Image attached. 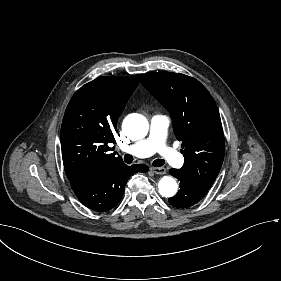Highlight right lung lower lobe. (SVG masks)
Instances as JSON below:
<instances>
[{
	"instance_id": "98d812e1",
	"label": "right lung lower lobe",
	"mask_w": 281,
	"mask_h": 281,
	"mask_svg": "<svg viewBox=\"0 0 281 281\" xmlns=\"http://www.w3.org/2000/svg\"><path fill=\"white\" fill-rule=\"evenodd\" d=\"M143 164L118 166L83 184L72 186L78 199L88 208L104 212L114 208L124 194L129 178L136 172H147Z\"/></svg>"
}]
</instances>
